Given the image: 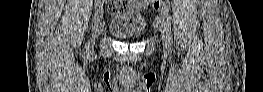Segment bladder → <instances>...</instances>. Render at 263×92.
I'll return each mask as SVG.
<instances>
[{
	"instance_id": "obj_1",
	"label": "bladder",
	"mask_w": 263,
	"mask_h": 92,
	"mask_svg": "<svg viewBox=\"0 0 263 92\" xmlns=\"http://www.w3.org/2000/svg\"><path fill=\"white\" fill-rule=\"evenodd\" d=\"M108 29L120 40H133L143 34L145 21L139 10L132 9L113 16Z\"/></svg>"
}]
</instances>
